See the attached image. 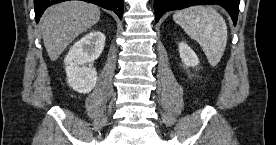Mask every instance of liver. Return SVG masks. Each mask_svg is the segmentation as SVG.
I'll use <instances>...</instances> for the list:
<instances>
[{
	"label": "liver",
	"instance_id": "liver-1",
	"mask_svg": "<svg viewBox=\"0 0 276 145\" xmlns=\"http://www.w3.org/2000/svg\"><path fill=\"white\" fill-rule=\"evenodd\" d=\"M100 19V8L85 1L71 0L50 6L40 25L48 56L56 61L66 47Z\"/></svg>",
	"mask_w": 276,
	"mask_h": 145
}]
</instances>
